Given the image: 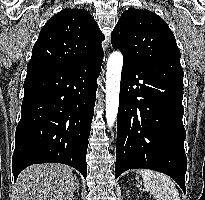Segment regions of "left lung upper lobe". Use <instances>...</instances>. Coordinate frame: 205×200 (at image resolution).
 I'll list each match as a JSON object with an SVG mask.
<instances>
[{
  "label": "left lung upper lobe",
  "instance_id": "5c2ea615",
  "mask_svg": "<svg viewBox=\"0 0 205 200\" xmlns=\"http://www.w3.org/2000/svg\"><path fill=\"white\" fill-rule=\"evenodd\" d=\"M113 48H118L124 61L144 64L168 58L180 60L173 32L155 13L128 9L119 18L112 35Z\"/></svg>",
  "mask_w": 205,
  "mask_h": 200
}]
</instances>
